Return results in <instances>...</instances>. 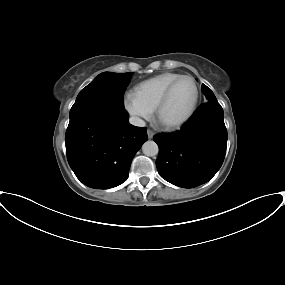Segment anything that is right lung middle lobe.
I'll list each match as a JSON object with an SVG mask.
<instances>
[{
	"label": "right lung middle lobe",
	"instance_id": "1",
	"mask_svg": "<svg viewBox=\"0 0 285 285\" xmlns=\"http://www.w3.org/2000/svg\"><path fill=\"white\" fill-rule=\"evenodd\" d=\"M132 73L103 72L78 94L69 117L96 104L124 109L123 95Z\"/></svg>",
	"mask_w": 285,
	"mask_h": 285
}]
</instances>
